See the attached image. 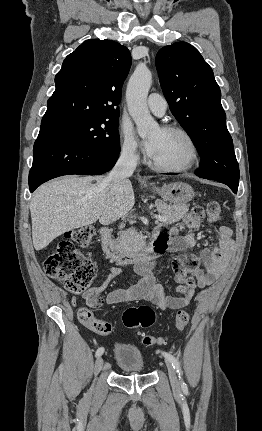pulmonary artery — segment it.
<instances>
[{"instance_id":"obj_1","label":"pulmonary artery","mask_w":262,"mask_h":431,"mask_svg":"<svg viewBox=\"0 0 262 431\" xmlns=\"http://www.w3.org/2000/svg\"><path fill=\"white\" fill-rule=\"evenodd\" d=\"M147 105L158 116L164 115L167 109L166 100L158 93H152L148 96Z\"/></svg>"}]
</instances>
